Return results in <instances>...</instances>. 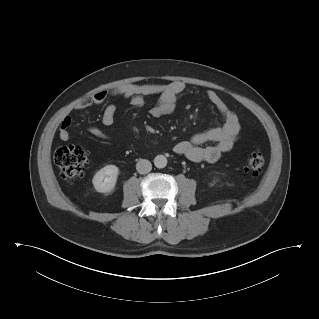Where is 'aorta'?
<instances>
[{"label": "aorta", "instance_id": "aorta-1", "mask_svg": "<svg viewBox=\"0 0 319 319\" xmlns=\"http://www.w3.org/2000/svg\"><path fill=\"white\" fill-rule=\"evenodd\" d=\"M154 165L157 168H164L167 165V158L164 155H157L154 158Z\"/></svg>", "mask_w": 319, "mask_h": 319}]
</instances>
